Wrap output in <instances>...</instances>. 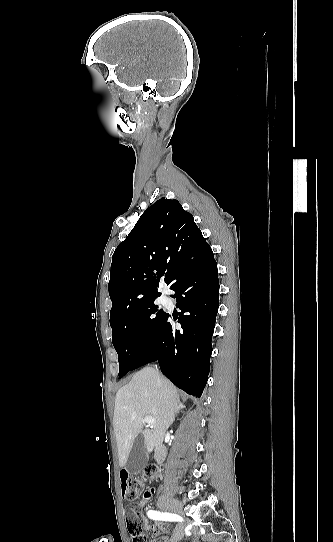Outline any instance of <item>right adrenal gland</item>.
<instances>
[{
  "label": "right adrenal gland",
  "instance_id": "obj_1",
  "mask_svg": "<svg viewBox=\"0 0 333 542\" xmlns=\"http://www.w3.org/2000/svg\"><path fill=\"white\" fill-rule=\"evenodd\" d=\"M182 408H185L184 404H179V410H182Z\"/></svg>",
  "mask_w": 333,
  "mask_h": 542
}]
</instances>
